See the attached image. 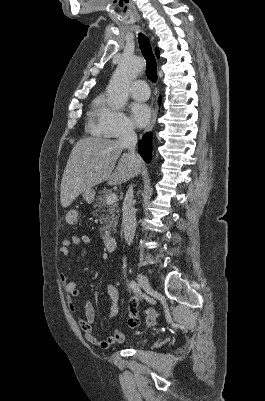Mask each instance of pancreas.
Instances as JSON below:
<instances>
[{"instance_id": "pancreas-1", "label": "pancreas", "mask_w": 265, "mask_h": 401, "mask_svg": "<svg viewBox=\"0 0 265 401\" xmlns=\"http://www.w3.org/2000/svg\"><path fill=\"white\" fill-rule=\"evenodd\" d=\"M98 194L99 196L95 198L96 203L93 205L94 211H92V215L100 217L101 227L99 231L101 239H106V237H109L110 231L117 225L119 209L117 203H113V205H107L106 203L107 196L113 194L110 188H103V190H99Z\"/></svg>"}]
</instances>
